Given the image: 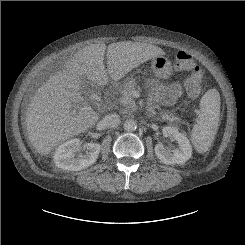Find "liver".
Segmentation results:
<instances>
[{
	"instance_id": "obj_1",
	"label": "liver",
	"mask_w": 245,
	"mask_h": 245,
	"mask_svg": "<svg viewBox=\"0 0 245 245\" xmlns=\"http://www.w3.org/2000/svg\"><path fill=\"white\" fill-rule=\"evenodd\" d=\"M105 53L107 69L103 63ZM164 54L160 47L132 41L108 46L92 44L77 51L64 69L36 91L26 110L28 139L36 152L48 155L60 143L84 133L98 121V114L81 95L84 78L103 86L109 76L118 81L144 62Z\"/></svg>"
}]
</instances>
